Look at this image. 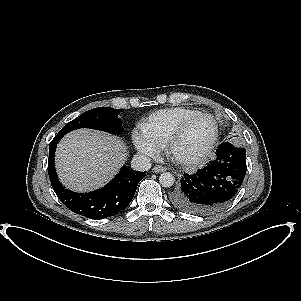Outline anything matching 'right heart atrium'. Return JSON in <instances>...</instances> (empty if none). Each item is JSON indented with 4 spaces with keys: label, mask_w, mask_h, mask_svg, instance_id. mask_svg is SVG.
Here are the masks:
<instances>
[{
    "label": "right heart atrium",
    "mask_w": 301,
    "mask_h": 301,
    "mask_svg": "<svg viewBox=\"0 0 301 301\" xmlns=\"http://www.w3.org/2000/svg\"><path fill=\"white\" fill-rule=\"evenodd\" d=\"M132 142L136 150L147 157H156L160 152L159 147L141 132H133Z\"/></svg>",
    "instance_id": "d8ad5b80"
}]
</instances>
